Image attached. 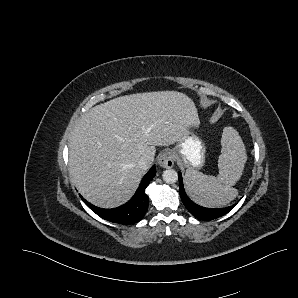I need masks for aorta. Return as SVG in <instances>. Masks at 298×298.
<instances>
[{
  "label": "aorta",
  "mask_w": 298,
  "mask_h": 298,
  "mask_svg": "<svg viewBox=\"0 0 298 298\" xmlns=\"http://www.w3.org/2000/svg\"><path fill=\"white\" fill-rule=\"evenodd\" d=\"M178 172L175 169H165L162 173V179L167 184H173L178 181Z\"/></svg>",
  "instance_id": "aorta-1"
}]
</instances>
